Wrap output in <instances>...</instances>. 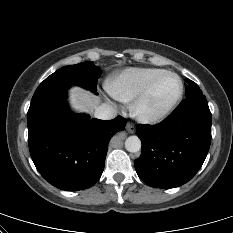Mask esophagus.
Instances as JSON below:
<instances>
[{
    "instance_id": "34e87169",
    "label": "esophagus",
    "mask_w": 233,
    "mask_h": 233,
    "mask_svg": "<svg viewBox=\"0 0 233 233\" xmlns=\"http://www.w3.org/2000/svg\"><path fill=\"white\" fill-rule=\"evenodd\" d=\"M126 130L129 133H134L135 132V126L132 123L127 122V124H126Z\"/></svg>"
}]
</instances>
